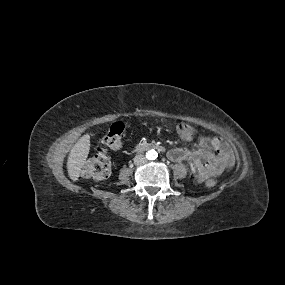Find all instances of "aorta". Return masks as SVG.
I'll use <instances>...</instances> for the list:
<instances>
[{"mask_svg": "<svg viewBox=\"0 0 285 285\" xmlns=\"http://www.w3.org/2000/svg\"><path fill=\"white\" fill-rule=\"evenodd\" d=\"M157 156H158V153H157V151L154 150V149L148 150V151L146 152V158H147L148 160H155V159L157 158Z\"/></svg>", "mask_w": 285, "mask_h": 285, "instance_id": "1", "label": "aorta"}]
</instances>
